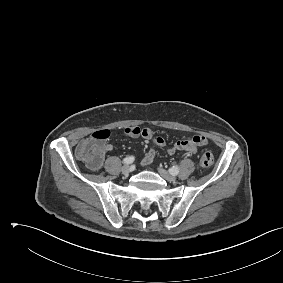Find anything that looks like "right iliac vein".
I'll return each instance as SVG.
<instances>
[{
  "label": "right iliac vein",
  "mask_w": 283,
  "mask_h": 283,
  "mask_svg": "<svg viewBox=\"0 0 283 283\" xmlns=\"http://www.w3.org/2000/svg\"><path fill=\"white\" fill-rule=\"evenodd\" d=\"M130 170H131V168H130V166H129L128 164L124 165V166L122 167V169H121L122 174H123L124 176H127V175L130 173Z\"/></svg>",
  "instance_id": "63e3f726"
}]
</instances>
